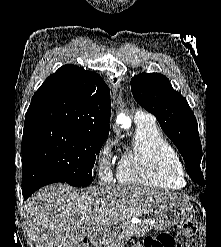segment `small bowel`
Returning <instances> with one entry per match:
<instances>
[{
  "mask_svg": "<svg viewBox=\"0 0 221 247\" xmlns=\"http://www.w3.org/2000/svg\"><path fill=\"white\" fill-rule=\"evenodd\" d=\"M140 247H146L145 245H143V246H140Z\"/></svg>",
  "mask_w": 221,
  "mask_h": 247,
  "instance_id": "1",
  "label": "small bowel"
}]
</instances>
